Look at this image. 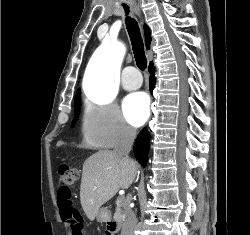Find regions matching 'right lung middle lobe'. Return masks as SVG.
Masks as SVG:
<instances>
[{
    "mask_svg": "<svg viewBox=\"0 0 250 235\" xmlns=\"http://www.w3.org/2000/svg\"><path fill=\"white\" fill-rule=\"evenodd\" d=\"M80 107H81L80 94H77L76 99H75V118H74L73 124L75 123V120H77L78 118Z\"/></svg>",
    "mask_w": 250,
    "mask_h": 235,
    "instance_id": "1",
    "label": "right lung middle lobe"
}]
</instances>
